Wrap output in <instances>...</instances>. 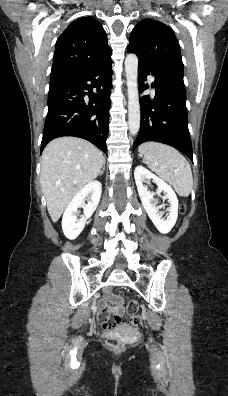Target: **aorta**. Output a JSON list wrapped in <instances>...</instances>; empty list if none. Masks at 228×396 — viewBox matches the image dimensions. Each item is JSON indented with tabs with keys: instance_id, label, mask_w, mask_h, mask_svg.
Listing matches in <instances>:
<instances>
[{
	"instance_id": "obj_1",
	"label": "aorta",
	"mask_w": 228,
	"mask_h": 396,
	"mask_svg": "<svg viewBox=\"0 0 228 396\" xmlns=\"http://www.w3.org/2000/svg\"><path fill=\"white\" fill-rule=\"evenodd\" d=\"M125 72L128 91V124L130 133L135 136L140 128V104L138 97V57L135 54L127 55Z\"/></svg>"
}]
</instances>
